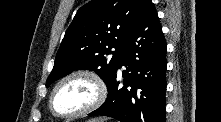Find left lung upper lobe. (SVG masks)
<instances>
[{
  "label": "left lung upper lobe",
  "instance_id": "5c2ea615",
  "mask_svg": "<svg viewBox=\"0 0 221 122\" xmlns=\"http://www.w3.org/2000/svg\"><path fill=\"white\" fill-rule=\"evenodd\" d=\"M140 0H92L82 6L67 29L46 86L74 70L95 71L110 84ZM115 48V51L112 49Z\"/></svg>",
  "mask_w": 221,
  "mask_h": 122
}]
</instances>
